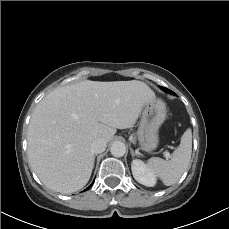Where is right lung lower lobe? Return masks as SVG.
Segmentation results:
<instances>
[{"instance_id": "obj_1", "label": "right lung lower lobe", "mask_w": 229, "mask_h": 229, "mask_svg": "<svg viewBox=\"0 0 229 229\" xmlns=\"http://www.w3.org/2000/svg\"><path fill=\"white\" fill-rule=\"evenodd\" d=\"M92 185H93V183H92L87 189H89ZM87 189H86V190H87Z\"/></svg>"}]
</instances>
